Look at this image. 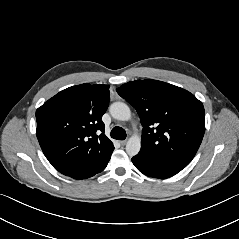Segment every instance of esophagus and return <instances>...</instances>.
<instances>
[{
  "instance_id": "esophagus-1",
  "label": "esophagus",
  "mask_w": 239,
  "mask_h": 239,
  "mask_svg": "<svg viewBox=\"0 0 239 239\" xmlns=\"http://www.w3.org/2000/svg\"><path fill=\"white\" fill-rule=\"evenodd\" d=\"M127 143V140H122V141H120V144L121 145H125Z\"/></svg>"
}]
</instances>
